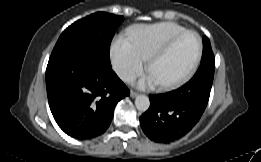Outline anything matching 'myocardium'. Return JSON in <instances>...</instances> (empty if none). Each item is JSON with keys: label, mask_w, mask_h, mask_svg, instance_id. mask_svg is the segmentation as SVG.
Masks as SVG:
<instances>
[{"label": "myocardium", "mask_w": 261, "mask_h": 162, "mask_svg": "<svg viewBox=\"0 0 261 162\" xmlns=\"http://www.w3.org/2000/svg\"><path fill=\"white\" fill-rule=\"evenodd\" d=\"M186 34H193L196 36L197 40H198V48H197V52L195 55V58L193 60V62L191 63L190 67L187 69V71L182 74L180 77L169 81V82H164V83H158L159 86L162 89H173L176 88L180 85H182L184 82H186L188 79H190L193 74L195 73L201 57H202V53H203V42H202V38L201 36L194 30H190V29H185L181 32H178L176 34H174L173 36H171L170 38H168L161 46H159L154 52H152L150 54V56L147 58V64H146V68L149 71L151 65L160 57H162L164 54H166L170 48L173 46V44L182 36L186 35Z\"/></svg>", "instance_id": "f54148a6"}]
</instances>
